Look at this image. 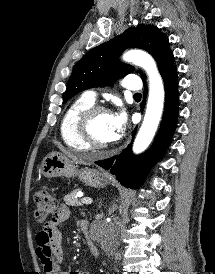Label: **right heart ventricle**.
Returning a JSON list of instances; mask_svg holds the SVG:
<instances>
[{
  "instance_id": "e07e8e85",
  "label": "right heart ventricle",
  "mask_w": 215,
  "mask_h": 274,
  "mask_svg": "<svg viewBox=\"0 0 215 274\" xmlns=\"http://www.w3.org/2000/svg\"><path fill=\"white\" fill-rule=\"evenodd\" d=\"M93 105L94 101L83 95L74 100L65 111L60 124V134L68 147L79 151L89 149L79 135L78 121L83 112Z\"/></svg>"
}]
</instances>
